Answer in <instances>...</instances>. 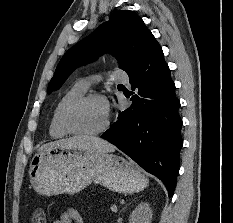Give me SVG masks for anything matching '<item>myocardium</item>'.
<instances>
[{
	"mask_svg": "<svg viewBox=\"0 0 233 223\" xmlns=\"http://www.w3.org/2000/svg\"><path fill=\"white\" fill-rule=\"evenodd\" d=\"M94 99H103V96L96 93L85 94L74 101H72L63 113V125L64 127L73 135L81 136V137H95L106 132L110 126V120L107 119L105 124L95 132H85L80 130L74 122V117L77 110L86 104L87 102Z\"/></svg>",
	"mask_w": 233,
	"mask_h": 223,
	"instance_id": "myocardium-1",
	"label": "myocardium"
}]
</instances>
